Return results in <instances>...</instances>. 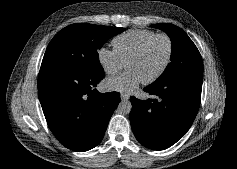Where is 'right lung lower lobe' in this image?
<instances>
[{"label": "right lung lower lobe", "instance_id": "98d812e1", "mask_svg": "<svg viewBox=\"0 0 237 169\" xmlns=\"http://www.w3.org/2000/svg\"><path fill=\"white\" fill-rule=\"evenodd\" d=\"M103 77L104 72L40 69L38 93L46 121L59 142L71 150L83 152L97 146L120 102L118 92L92 90Z\"/></svg>", "mask_w": 237, "mask_h": 169}]
</instances>
